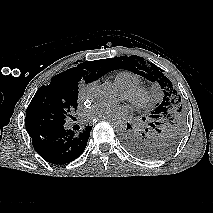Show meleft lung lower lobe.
<instances>
[{"mask_svg": "<svg viewBox=\"0 0 213 213\" xmlns=\"http://www.w3.org/2000/svg\"><path fill=\"white\" fill-rule=\"evenodd\" d=\"M131 129H132L131 125L128 124V125H127V129H126V130H128V131L125 133V135H124V137H123V142H124V144L126 143V142H125L126 139H128V138H127L128 135L131 133Z\"/></svg>", "mask_w": 213, "mask_h": 213, "instance_id": "left-lung-lower-lobe-1", "label": "left lung lower lobe"}]
</instances>
